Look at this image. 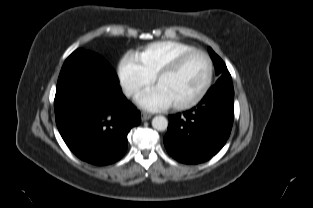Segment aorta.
<instances>
[{"instance_id": "aorta-1", "label": "aorta", "mask_w": 313, "mask_h": 208, "mask_svg": "<svg viewBox=\"0 0 313 208\" xmlns=\"http://www.w3.org/2000/svg\"><path fill=\"white\" fill-rule=\"evenodd\" d=\"M152 126L158 131H164L168 127V120L164 116H155L152 120Z\"/></svg>"}]
</instances>
